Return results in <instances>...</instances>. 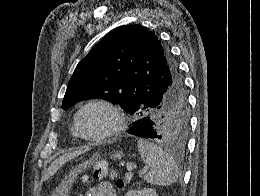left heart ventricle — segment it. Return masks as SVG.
<instances>
[{
    "label": "left heart ventricle",
    "mask_w": 260,
    "mask_h": 196,
    "mask_svg": "<svg viewBox=\"0 0 260 196\" xmlns=\"http://www.w3.org/2000/svg\"><path fill=\"white\" fill-rule=\"evenodd\" d=\"M116 123L112 110L101 104H94L83 111L79 127L89 136L101 135L110 130Z\"/></svg>",
    "instance_id": "left-heart-ventricle-1"
}]
</instances>
